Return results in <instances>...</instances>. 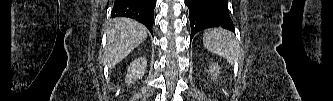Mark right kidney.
<instances>
[{
  "instance_id": "obj_1",
  "label": "right kidney",
  "mask_w": 333,
  "mask_h": 101,
  "mask_svg": "<svg viewBox=\"0 0 333 101\" xmlns=\"http://www.w3.org/2000/svg\"><path fill=\"white\" fill-rule=\"evenodd\" d=\"M146 65L147 61L144 56L135 59L128 67L125 83L131 85L138 79H141L144 75Z\"/></svg>"
}]
</instances>
